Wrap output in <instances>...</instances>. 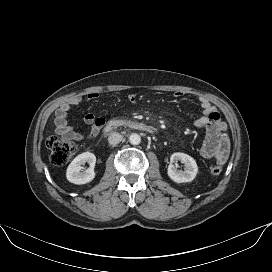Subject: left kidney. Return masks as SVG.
<instances>
[{
    "mask_svg": "<svg viewBox=\"0 0 272 272\" xmlns=\"http://www.w3.org/2000/svg\"><path fill=\"white\" fill-rule=\"evenodd\" d=\"M170 165L168 166L167 174L169 178L176 183H187L191 182L197 172L198 166L196 161L185 153H173L170 157ZM181 161L185 165L184 171H178L173 165L174 162Z\"/></svg>",
    "mask_w": 272,
    "mask_h": 272,
    "instance_id": "obj_1",
    "label": "left kidney"
}]
</instances>
